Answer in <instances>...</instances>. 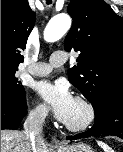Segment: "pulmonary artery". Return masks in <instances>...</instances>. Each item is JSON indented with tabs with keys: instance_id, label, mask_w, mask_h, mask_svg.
I'll return each mask as SVG.
<instances>
[{
	"instance_id": "e3ab8cb5",
	"label": "pulmonary artery",
	"mask_w": 123,
	"mask_h": 152,
	"mask_svg": "<svg viewBox=\"0 0 123 152\" xmlns=\"http://www.w3.org/2000/svg\"><path fill=\"white\" fill-rule=\"evenodd\" d=\"M67 60L66 54L62 51H55L50 56L48 63L37 62L27 68V72L34 76H45L49 74L53 68L62 66Z\"/></svg>"
}]
</instances>
